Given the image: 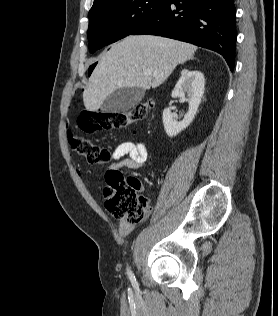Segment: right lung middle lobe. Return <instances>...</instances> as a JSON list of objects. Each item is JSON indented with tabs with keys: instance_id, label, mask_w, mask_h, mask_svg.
<instances>
[{
	"instance_id": "obj_1",
	"label": "right lung middle lobe",
	"mask_w": 278,
	"mask_h": 316,
	"mask_svg": "<svg viewBox=\"0 0 278 316\" xmlns=\"http://www.w3.org/2000/svg\"><path fill=\"white\" fill-rule=\"evenodd\" d=\"M165 0H107L89 11V50L131 35L161 7ZM92 69H89L91 73Z\"/></svg>"
}]
</instances>
